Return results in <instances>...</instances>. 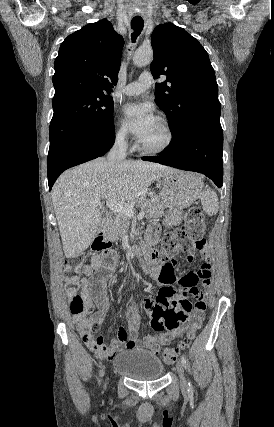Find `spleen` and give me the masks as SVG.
<instances>
[{"mask_svg": "<svg viewBox=\"0 0 274 427\" xmlns=\"http://www.w3.org/2000/svg\"><path fill=\"white\" fill-rule=\"evenodd\" d=\"M196 186L194 192L195 196H199L201 198V204L203 208V212L208 215H215L217 214L219 210V204H218V198L216 196V192H213V190H205V192H201L203 188V182L202 180H195Z\"/></svg>", "mask_w": 274, "mask_h": 427, "instance_id": "spleen-1", "label": "spleen"}]
</instances>
